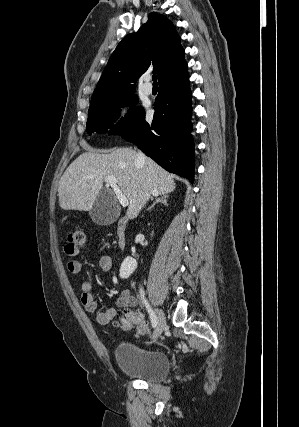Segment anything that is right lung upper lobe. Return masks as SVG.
Listing matches in <instances>:
<instances>
[{
  "label": "right lung upper lobe",
  "instance_id": "right-lung-upper-lobe-1",
  "mask_svg": "<svg viewBox=\"0 0 299 427\" xmlns=\"http://www.w3.org/2000/svg\"><path fill=\"white\" fill-rule=\"evenodd\" d=\"M184 49L175 26L152 13L137 33L127 35L112 53L91 102L135 91V83L150 65L159 82L187 70Z\"/></svg>",
  "mask_w": 299,
  "mask_h": 427
}]
</instances>
